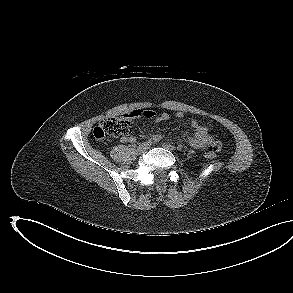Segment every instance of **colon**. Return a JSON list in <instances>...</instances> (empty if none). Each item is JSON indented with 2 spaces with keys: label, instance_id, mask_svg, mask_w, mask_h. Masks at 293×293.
<instances>
[{
  "label": "colon",
  "instance_id": "5ec220e1",
  "mask_svg": "<svg viewBox=\"0 0 293 293\" xmlns=\"http://www.w3.org/2000/svg\"><path fill=\"white\" fill-rule=\"evenodd\" d=\"M131 121L125 117H109L104 119L93 130V136L97 140H104L107 137L126 136L131 133ZM206 156L210 159L215 158V152L208 151Z\"/></svg>",
  "mask_w": 293,
  "mask_h": 293
}]
</instances>
